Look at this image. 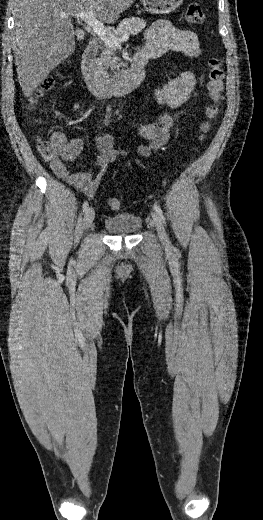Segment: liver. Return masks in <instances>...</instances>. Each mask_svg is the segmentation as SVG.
<instances>
[{"mask_svg": "<svg viewBox=\"0 0 263 520\" xmlns=\"http://www.w3.org/2000/svg\"><path fill=\"white\" fill-rule=\"evenodd\" d=\"M135 0H18L14 46L18 80L30 97L49 73L75 50L71 17L93 11L98 20L115 23ZM62 14H68L62 18Z\"/></svg>", "mask_w": 263, "mask_h": 520, "instance_id": "liver-1", "label": "liver"}]
</instances>
